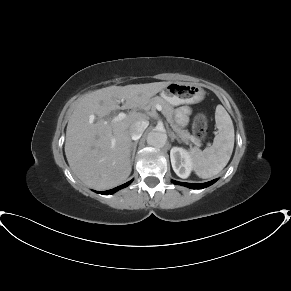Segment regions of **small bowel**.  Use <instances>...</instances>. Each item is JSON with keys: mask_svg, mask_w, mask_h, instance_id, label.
I'll return each mask as SVG.
<instances>
[{"mask_svg": "<svg viewBox=\"0 0 291 291\" xmlns=\"http://www.w3.org/2000/svg\"><path fill=\"white\" fill-rule=\"evenodd\" d=\"M187 113H188V109L186 108H181L177 112V117L181 123L185 122Z\"/></svg>", "mask_w": 291, "mask_h": 291, "instance_id": "obj_1", "label": "small bowel"}]
</instances>
